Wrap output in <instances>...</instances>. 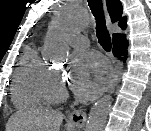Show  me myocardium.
I'll return each mask as SVG.
<instances>
[{
    "label": "myocardium",
    "instance_id": "obj_1",
    "mask_svg": "<svg viewBox=\"0 0 151 131\" xmlns=\"http://www.w3.org/2000/svg\"><path fill=\"white\" fill-rule=\"evenodd\" d=\"M44 98L48 102L62 101L67 97V91L56 71H51L43 84Z\"/></svg>",
    "mask_w": 151,
    "mask_h": 131
}]
</instances>
